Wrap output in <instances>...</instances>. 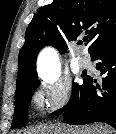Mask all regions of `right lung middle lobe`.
I'll list each match as a JSON object with an SVG mask.
<instances>
[{
    "instance_id": "dd1d6c3e",
    "label": "right lung middle lobe",
    "mask_w": 116,
    "mask_h": 134,
    "mask_svg": "<svg viewBox=\"0 0 116 134\" xmlns=\"http://www.w3.org/2000/svg\"><path fill=\"white\" fill-rule=\"evenodd\" d=\"M87 78L84 79L83 84L73 83L72 93L69 102L73 101L83 89ZM39 81L28 84L21 93L15 95V111L11 128H16L24 125L28 120V107L32 99L35 88L39 86Z\"/></svg>"
}]
</instances>
